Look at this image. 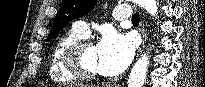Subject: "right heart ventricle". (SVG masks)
Returning <instances> with one entry per match:
<instances>
[{
  "label": "right heart ventricle",
  "mask_w": 205,
  "mask_h": 87,
  "mask_svg": "<svg viewBox=\"0 0 205 87\" xmlns=\"http://www.w3.org/2000/svg\"><path fill=\"white\" fill-rule=\"evenodd\" d=\"M82 35L74 29L62 34L55 42L50 61L49 77L55 84H71L76 78L65 68L63 56L65 51L75 42L82 39Z\"/></svg>",
  "instance_id": "obj_1"
}]
</instances>
